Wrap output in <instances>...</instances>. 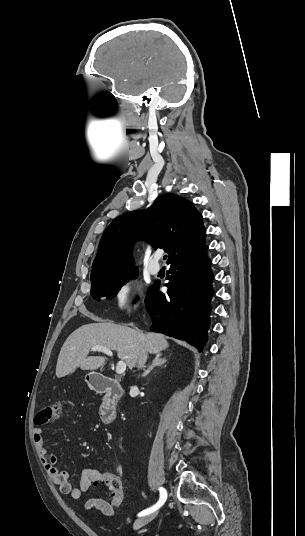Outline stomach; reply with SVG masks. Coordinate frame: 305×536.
Segmentation results:
<instances>
[{"mask_svg":"<svg viewBox=\"0 0 305 536\" xmlns=\"http://www.w3.org/2000/svg\"><path fill=\"white\" fill-rule=\"evenodd\" d=\"M92 378H95V380H97V382H100V378H99L98 374H87V376H85V380H86L87 384H90V386H92V384H91Z\"/></svg>","mask_w":305,"mask_h":536,"instance_id":"1","label":"stomach"}]
</instances>
